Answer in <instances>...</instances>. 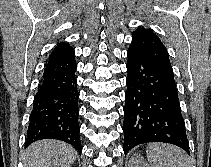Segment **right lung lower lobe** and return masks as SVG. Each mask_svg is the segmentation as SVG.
Wrapping results in <instances>:
<instances>
[{
  "mask_svg": "<svg viewBox=\"0 0 211 167\" xmlns=\"http://www.w3.org/2000/svg\"><path fill=\"white\" fill-rule=\"evenodd\" d=\"M76 69L74 55L45 67L29 117L26 147L38 140L58 139L81 154Z\"/></svg>",
  "mask_w": 211,
  "mask_h": 167,
  "instance_id": "right-lung-lower-lobe-1",
  "label": "right lung lower lobe"
}]
</instances>
